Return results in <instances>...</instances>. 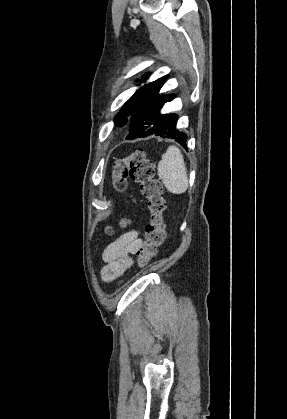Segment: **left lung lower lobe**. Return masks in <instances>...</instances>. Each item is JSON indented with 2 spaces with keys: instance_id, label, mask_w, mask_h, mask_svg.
<instances>
[{
  "instance_id": "obj_1",
  "label": "left lung lower lobe",
  "mask_w": 287,
  "mask_h": 419,
  "mask_svg": "<svg viewBox=\"0 0 287 419\" xmlns=\"http://www.w3.org/2000/svg\"><path fill=\"white\" fill-rule=\"evenodd\" d=\"M175 97V94L157 95L138 107L130 118L129 134L126 139L134 140L155 135L175 139L186 148L187 135L176 130L178 115L174 113L158 114L163 105Z\"/></svg>"
}]
</instances>
